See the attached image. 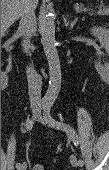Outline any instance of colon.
I'll use <instances>...</instances> for the list:
<instances>
[{"mask_svg": "<svg viewBox=\"0 0 109 170\" xmlns=\"http://www.w3.org/2000/svg\"><path fill=\"white\" fill-rule=\"evenodd\" d=\"M32 170H45V168L41 165H36L32 168Z\"/></svg>", "mask_w": 109, "mask_h": 170, "instance_id": "5ec220e1", "label": "colon"}]
</instances>
